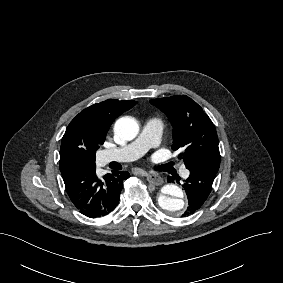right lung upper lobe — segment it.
<instances>
[{
	"label": "right lung upper lobe",
	"instance_id": "obj_1",
	"mask_svg": "<svg viewBox=\"0 0 283 283\" xmlns=\"http://www.w3.org/2000/svg\"><path fill=\"white\" fill-rule=\"evenodd\" d=\"M136 101L108 99L81 111L68 125L64 136H106L113 120L136 105Z\"/></svg>",
	"mask_w": 283,
	"mask_h": 283
}]
</instances>
